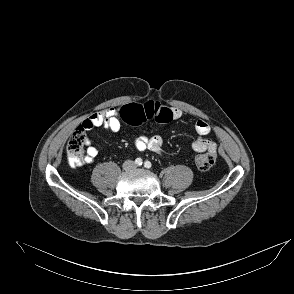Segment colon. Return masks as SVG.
Returning a JSON list of instances; mask_svg holds the SVG:
<instances>
[{"label":"colon","mask_w":294,"mask_h":294,"mask_svg":"<svg viewBox=\"0 0 294 294\" xmlns=\"http://www.w3.org/2000/svg\"><path fill=\"white\" fill-rule=\"evenodd\" d=\"M121 119L131 125H140L148 120H155L159 123H166L172 120L171 109L157 102H146L144 104L131 103L120 110ZM85 132L78 127L69 137L66 146L68 163L72 167L83 164ZM196 165L201 171H207L213 167L216 161L214 152H202L196 157Z\"/></svg>","instance_id":"5ec220e1"}]
</instances>
